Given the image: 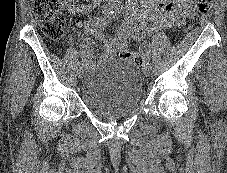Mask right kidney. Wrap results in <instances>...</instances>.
I'll return each mask as SVG.
<instances>
[{"instance_id": "obj_1", "label": "right kidney", "mask_w": 227, "mask_h": 173, "mask_svg": "<svg viewBox=\"0 0 227 173\" xmlns=\"http://www.w3.org/2000/svg\"><path fill=\"white\" fill-rule=\"evenodd\" d=\"M66 8L72 12V13H77L80 11V7L76 5V0H63Z\"/></svg>"}]
</instances>
